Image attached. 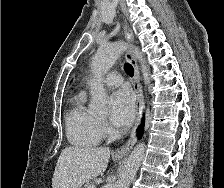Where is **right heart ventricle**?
Here are the masks:
<instances>
[{
  "mask_svg": "<svg viewBox=\"0 0 224 188\" xmlns=\"http://www.w3.org/2000/svg\"><path fill=\"white\" fill-rule=\"evenodd\" d=\"M66 134L77 147H92L100 143L102 129L98 117L85 106V94L76 96L66 115Z\"/></svg>",
  "mask_w": 224,
  "mask_h": 188,
  "instance_id": "1",
  "label": "right heart ventricle"
}]
</instances>
